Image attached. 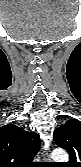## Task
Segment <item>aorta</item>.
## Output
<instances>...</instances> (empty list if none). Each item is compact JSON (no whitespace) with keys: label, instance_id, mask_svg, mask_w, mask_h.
<instances>
[{"label":"aorta","instance_id":"aorta-1","mask_svg":"<svg viewBox=\"0 0 81 167\" xmlns=\"http://www.w3.org/2000/svg\"><path fill=\"white\" fill-rule=\"evenodd\" d=\"M52 158L56 162H67L69 159L68 154L63 149H55L52 152Z\"/></svg>","mask_w":81,"mask_h":167}]
</instances>
